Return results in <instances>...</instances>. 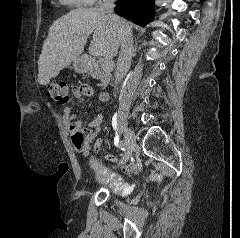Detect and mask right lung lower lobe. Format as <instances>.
<instances>
[{
    "label": "right lung lower lobe",
    "mask_w": 240,
    "mask_h": 238,
    "mask_svg": "<svg viewBox=\"0 0 240 238\" xmlns=\"http://www.w3.org/2000/svg\"><path fill=\"white\" fill-rule=\"evenodd\" d=\"M115 12L138 25H146L154 16V0H117Z\"/></svg>",
    "instance_id": "right-lung-lower-lobe-1"
}]
</instances>
